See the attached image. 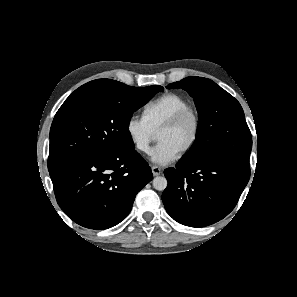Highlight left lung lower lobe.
I'll use <instances>...</instances> for the list:
<instances>
[{
    "instance_id": "left-lung-lower-lobe-1",
    "label": "left lung lower lobe",
    "mask_w": 297,
    "mask_h": 297,
    "mask_svg": "<svg viewBox=\"0 0 297 297\" xmlns=\"http://www.w3.org/2000/svg\"><path fill=\"white\" fill-rule=\"evenodd\" d=\"M164 174L162 201L168 214L191 227L211 225L228 215L250 178V168L223 159L179 161Z\"/></svg>"
}]
</instances>
